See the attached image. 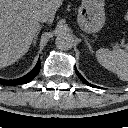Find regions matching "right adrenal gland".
I'll return each instance as SVG.
<instances>
[{"mask_svg":"<svg viewBox=\"0 0 128 128\" xmlns=\"http://www.w3.org/2000/svg\"><path fill=\"white\" fill-rule=\"evenodd\" d=\"M41 28H42V26L39 27V29H38V31H37L35 37H34L33 45H36V41H37V39H38V35H39L40 31H41Z\"/></svg>","mask_w":128,"mask_h":128,"instance_id":"2a0ac1e0","label":"right adrenal gland"}]
</instances>
